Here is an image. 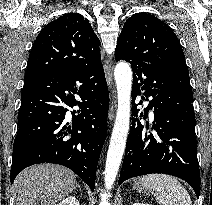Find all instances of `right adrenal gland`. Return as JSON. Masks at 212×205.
<instances>
[{
  "mask_svg": "<svg viewBox=\"0 0 212 205\" xmlns=\"http://www.w3.org/2000/svg\"><path fill=\"white\" fill-rule=\"evenodd\" d=\"M76 188H78L79 190H81V187H80V185L78 183H76V186H75L74 189H76Z\"/></svg>",
  "mask_w": 212,
  "mask_h": 205,
  "instance_id": "1",
  "label": "right adrenal gland"
}]
</instances>
